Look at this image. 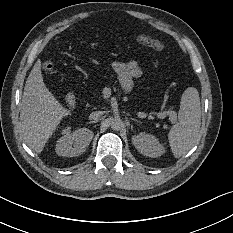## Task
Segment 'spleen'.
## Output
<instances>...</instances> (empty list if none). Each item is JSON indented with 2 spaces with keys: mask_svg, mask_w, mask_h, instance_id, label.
<instances>
[{
  "mask_svg": "<svg viewBox=\"0 0 233 233\" xmlns=\"http://www.w3.org/2000/svg\"><path fill=\"white\" fill-rule=\"evenodd\" d=\"M178 121L168 134L176 158L185 155L200 140L201 104L196 88L188 87L182 94Z\"/></svg>",
  "mask_w": 233,
  "mask_h": 233,
  "instance_id": "obj_1",
  "label": "spleen"
}]
</instances>
